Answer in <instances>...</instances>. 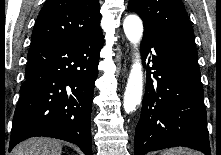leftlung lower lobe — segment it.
<instances>
[{
  "mask_svg": "<svg viewBox=\"0 0 221 155\" xmlns=\"http://www.w3.org/2000/svg\"><path fill=\"white\" fill-rule=\"evenodd\" d=\"M151 48L154 52L148 61L151 59L153 65L147 68L146 91L135 132V155L174 146L211 155L197 51L144 33V63Z\"/></svg>",
  "mask_w": 221,
  "mask_h": 155,
  "instance_id": "0a47b994",
  "label": "left lung lower lobe"
}]
</instances>
